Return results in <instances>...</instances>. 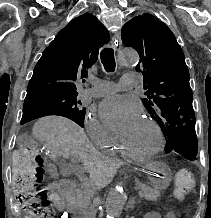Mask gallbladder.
<instances>
[{
    "label": "gallbladder",
    "mask_w": 211,
    "mask_h": 218,
    "mask_svg": "<svg viewBox=\"0 0 211 218\" xmlns=\"http://www.w3.org/2000/svg\"><path fill=\"white\" fill-rule=\"evenodd\" d=\"M56 164L59 166L60 176L68 178L71 175H80L81 171L84 170L83 166H73V164H67L64 158H56Z\"/></svg>",
    "instance_id": "bac80fb5"
}]
</instances>
